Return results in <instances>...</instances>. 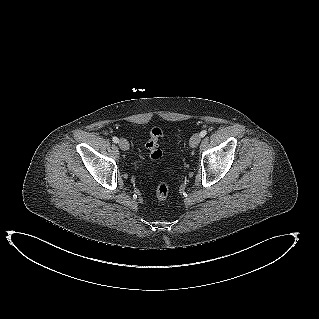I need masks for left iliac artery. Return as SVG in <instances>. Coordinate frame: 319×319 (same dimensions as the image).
I'll return each mask as SVG.
<instances>
[{"instance_id": "left-iliac-artery-1", "label": "left iliac artery", "mask_w": 319, "mask_h": 319, "mask_svg": "<svg viewBox=\"0 0 319 319\" xmlns=\"http://www.w3.org/2000/svg\"><path fill=\"white\" fill-rule=\"evenodd\" d=\"M206 134H207V131H206V130H202V131L200 132V136H201V137H204Z\"/></svg>"}]
</instances>
